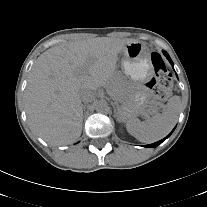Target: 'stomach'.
<instances>
[{
    "instance_id": "1",
    "label": "stomach",
    "mask_w": 207,
    "mask_h": 207,
    "mask_svg": "<svg viewBox=\"0 0 207 207\" xmlns=\"http://www.w3.org/2000/svg\"><path fill=\"white\" fill-rule=\"evenodd\" d=\"M123 73L133 81L143 83L153 72L150 52L142 42L127 44L120 52ZM125 81H119L117 88L121 91L120 106L117 117L125 121L145 111L150 101L149 91L143 87L127 91Z\"/></svg>"
}]
</instances>
